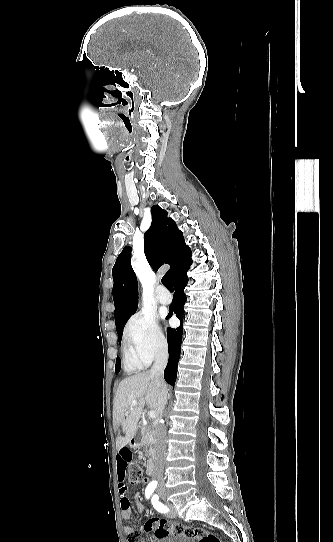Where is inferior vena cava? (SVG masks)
Returning <instances> with one entry per match:
<instances>
[{
    "mask_svg": "<svg viewBox=\"0 0 333 542\" xmlns=\"http://www.w3.org/2000/svg\"><path fill=\"white\" fill-rule=\"evenodd\" d=\"M168 362V350L167 348H161L158 354L155 356V362L150 370V376H154L158 386V400H157V418L161 420L163 416V410L167 404V388L164 382V370ZM156 438L157 446L155 452V462L152 472V480L158 482V488H164L165 482L163 478L165 460H166V428L164 424H156Z\"/></svg>",
    "mask_w": 333,
    "mask_h": 542,
    "instance_id": "602c4592",
    "label": "inferior vena cava"
}]
</instances>
